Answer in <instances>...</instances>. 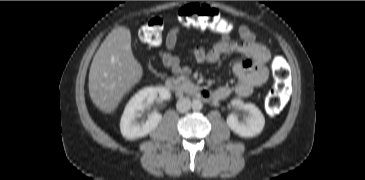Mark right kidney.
Returning a JSON list of instances; mask_svg holds the SVG:
<instances>
[{
  "label": "right kidney",
  "mask_w": 365,
  "mask_h": 180,
  "mask_svg": "<svg viewBox=\"0 0 365 180\" xmlns=\"http://www.w3.org/2000/svg\"><path fill=\"white\" fill-rule=\"evenodd\" d=\"M158 96L167 100L171 97L170 91L163 86H151L146 87L136 93L130 101L127 103L124 113L121 117L120 130L124 138L128 140H134L140 137H144L151 131L156 129L162 115L157 112L149 114L145 123H138L136 118L140 115L146 105L152 104Z\"/></svg>",
  "instance_id": "ca27d5eb"
}]
</instances>
